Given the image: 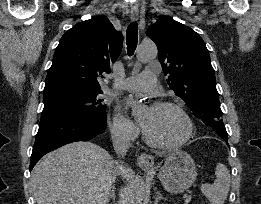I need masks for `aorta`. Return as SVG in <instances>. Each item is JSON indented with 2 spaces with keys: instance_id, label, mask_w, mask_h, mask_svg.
<instances>
[{
  "instance_id": "762f6f07",
  "label": "aorta",
  "mask_w": 261,
  "mask_h": 204,
  "mask_svg": "<svg viewBox=\"0 0 261 204\" xmlns=\"http://www.w3.org/2000/svg\"><path fill=\"white\" fill-rule=\"evenodd\" d=\"M157 56V47L154 43H142L137 49V60L140 63L148 62ZM141 107L136 105L132 108V114L137 115ZM145 195V183L141 177L132 180L128 193V204H143Z\"/></svg>"
}]
</instances>
